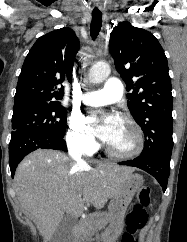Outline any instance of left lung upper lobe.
<instances>
[{
    "instance_id": "left-lung-upper-lobe-1",
    "label": "left lung upper lobe",
    "mask_w": 187,
    "mask_h": 242,
    "mask_svg": "<svg viewBox=\"0 0 187 242\" xmlns=\"http://www.w3.org/2000/svg\"><path fill=\"white\" fill-rule=\"evenodd\" d=\"M109 50L129 92L128 108L145 134L141 155L172 151V87L160 43L124 21L111 32Z\"/></svg>"
}]
</instances>
